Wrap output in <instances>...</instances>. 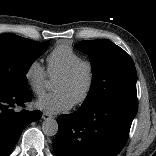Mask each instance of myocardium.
<instances>
[{"instance_id":"f54148a6","label":"myocardium","mask_w":156,"mask_h":156,"mask_svg":"<svg viewBox=\"0 0 156 156\" xmlns=\"http://www.w3.org/2000/svg\"><path fill=\"white\" fill-rule=\"evenodd\" d=\"M82 70L86 71L87 74V82L85 88L81 95L73 102L74 105L78 106L83 104L90 97L95 81H96V72L94 65L90 61L81 60L74 64L70 69L60 74L57 79L62 80H72L74 79Z\"/></svg>"}]
</instances>
